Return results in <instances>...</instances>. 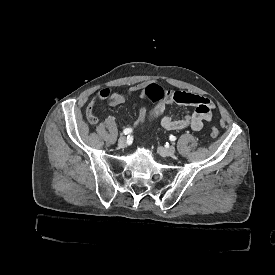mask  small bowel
Masks as SVG:
<instances>
[{
	"mask_svg": "<svg viewBox=\"0 0 275 275\" xmlns=\"http://www.w3.org/2000/svg\"><path fill=\"white\" fill-rule=\"evenodd\" d=\"M145 88V83H139L131 86L124 92H112L109 89H101L87 107L95 108L96 104L103 100H107L110 106L115 107L124 103L134 94H142ZM173 104L194 106L195 110L180 118L171 115L162 117L160 124L166 130H181L189 127L193 131H200L204 122L212 119L214 106L208 98L185 91H168L164 99L154 105L157 109V114L154 118L146 120L145 127L157 121L161 117L165 107Z\"/></svg>",
	"mask_w": 275,
	"mask_h": 275,
	"instance_id": "1",
	"label": "small bowel"
}]
</instances>
